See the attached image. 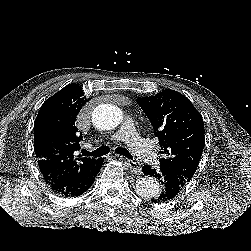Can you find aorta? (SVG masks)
Here are the masks:
<instances>
[{
  "label": "aorta",
  "instance_id": "obj_1",
  "mask_svg": "<svg viewBox=\"0 0 251 251\" xmlns=\"http://www.w3.org/2000/svg\"><path fill=\"white\" fill-rule=\"evenodd\" d=\"M124 118L121 109L111 104H101L92 113L93 124L101 130H110L117 127ZM161 191L160 184L156 178L144 177L136 184L137 194L144 199H152Z\"/></svg>",
  "mask_w": 251,
  "mask_h": 251
}]
</instances>
